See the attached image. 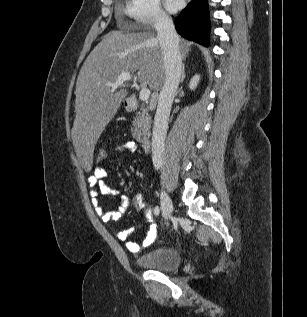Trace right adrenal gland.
Wrapping results in <instances>:
<instances>
[{
    "label": "right adrenal gland",
    "mask_w": 307,
    "mask_h": 317,
    "mask_svg": "<svg viewBox=\"0 0 307 317\" xmlns=\"http://www.w3.org/2000/svg\"><path fill=\"white\" fill-rule=\"evenodd\" d=\"M185 79V66L184 64L182 65V72H181V82H183Z\"/></svg>",
    "instance_id": "1"
}]
</instances>
